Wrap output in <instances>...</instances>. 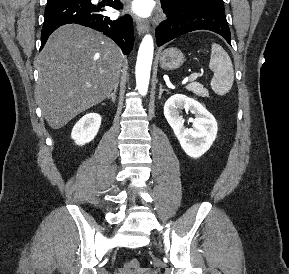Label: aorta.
Listing matches in <instances>:
<instances>
[{
  "label": "aorta",
  "instance_id": "obj_1",
  "mask_svg": "<svg viewBox=\"0 0 289 274\" xmlns=\"http://www.w3.org/2000/svg\"><path fill=\"white\" fill-rule=\"evenodd\" d=\"M154 43L151 35H146L139 47L136 63V86L143 96L147 94L153 60Z\"/></svg>",
  "mask_w": 289,
  "mask_h": 274
}]
</instances>
